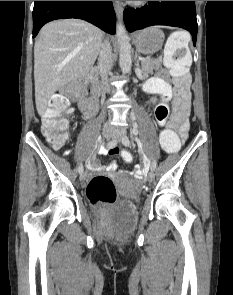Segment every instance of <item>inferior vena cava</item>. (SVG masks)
<instances>
[{
  "label": "inferior vena cava",
  "mask_w": 233,
  "mask_h": 295,
  "mask_svg": "<svg viewBox=\"0 0 233 295\" xmlns=\"http://www.w3.org/2000/svg\"><path fill=\"white\" fill-rule=\"evenodd\" d=\"M113 66L112 50L108 41H104L101 44L98 58V69L102 79V85L104 89L109 92L110 87L108 83V74Z\"/></svg>",
  "instance_id": "602c4592"
}]
</instances>
